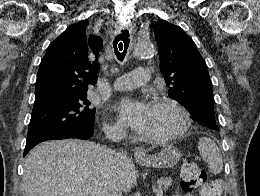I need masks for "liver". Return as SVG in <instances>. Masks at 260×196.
<instances>
[{
	"mask_svg": "<svg viewBox=\"0 0 260 196\" xmlns=\"http://www.w3.org/2000/svg\"><path fill=\"white\" fill-rule=\"evenodd\" d=\"M109 150L83 140H50L29 152L23 170L26 196H106L107 176L115 172L123 192L134 188L138 172L129 156L118 154L112 166Z\"/></svg>",
	"mask_w": 260,
	"mask_h": 196,
	"instance_id": "1",
	"label": "liver"
}]
</instances>
